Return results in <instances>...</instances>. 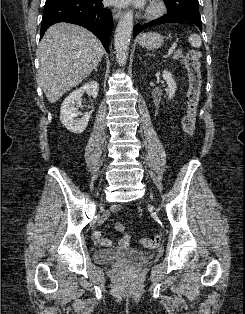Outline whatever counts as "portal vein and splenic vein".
<instances>
[{"instance_id":"18ae733b","label":"portal vein and splenic vein","mask_w":245,"mask_h":314,"mask_svg":"<svg viewBox=\"0 0 245 314\" xmlns=\"http://www.w3.org/2000/svg\"><path fill=\"white\" fill-rule=\"evenodd\" d=\"M176 47H177V44L173 43L172 46L168 50L167 56H170L175 51Z\"/></svg>"}]
</instances>
